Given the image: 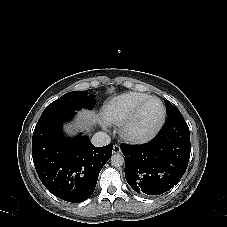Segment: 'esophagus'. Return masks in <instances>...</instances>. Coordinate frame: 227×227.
Returning a JSON list of instances; mask_svg holds the SVG:
<instances>
[{
  "instance_id": "esophagus-1",
  "label": "esophagus",
  "mask_w": 227,
  "mask_h": 227,
  "mask_svg": "<svg viewBox=\"0 0 227 227\" xmlns=\"http://www.w3.org/2000/svg\"><path fill=\"white\" fill-rule=\"evenodd\" d=\"M121 149L120 146L118 144H115L113 146V153H120Z\"/></svg>"
}]
</instances>
